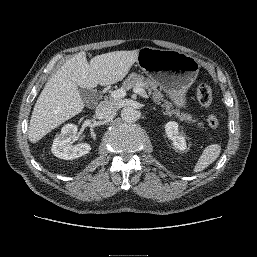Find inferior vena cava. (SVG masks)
Masks as SVG:
<instances>
[{
  "label": "inferior vena cava",
  "mask_w": 257,
  "mask_h": 257,
  "mask_svg": "<svg viewBox=\"0 0 257 257\" xmlns=\"http://www.w3.org/2000/svg\"><path fill=\"white\" fill-rule=\"evenodd\" d=\"M118 110V105L110 101L101 102L96 108V117L99 119L108 118Z\"/></svg>",
  "instance_id": "602c4592"
}]
</instances>
